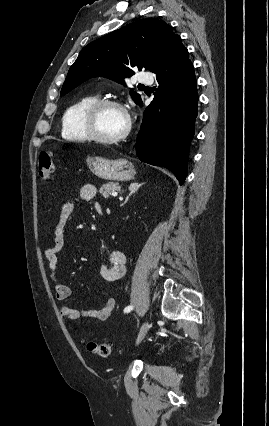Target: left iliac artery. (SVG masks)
Masks as SVG:
<instances>
[{
    "instance_id": "left-iliac-artery-1",
    "label": "left iliac artery",
    "mask_w": 269,
    "mask_h": 426,
    "mask_svg": "<svg viewBox=\"0 0 269 426\" xmlns=\"http://www.w3.org/2000/svg\"><path fill=\"white\" fill-rule=\"evenodd\" d=\"M131 310H133V306H127V307L124 309V313H129Z\"/></svg>"
}]
</instances>
